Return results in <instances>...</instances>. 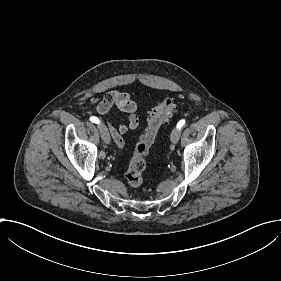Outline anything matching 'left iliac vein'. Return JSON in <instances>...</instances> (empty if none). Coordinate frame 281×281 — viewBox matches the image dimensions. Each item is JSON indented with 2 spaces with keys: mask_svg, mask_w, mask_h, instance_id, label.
I'll return each mask as SVG.
<instances>
[{
  "mask_svg": "<svg viewBox=\"0 0 281 281\" xmlns=\"http://www.w3.org/2000/svg\"><path fill=\"white\" fill-rule=\"evenodd\" d=\"M179 136H180V131H179V129H177V128H174V129H172V131H171V141L170 142H174V143H178L179 141H178V138H179Z\"/></svg>",
  "mask_w": 281,
  "mask_h": 281,
  "instance_id": "left-iliac-vein-1",
  "label": "left iliac vein"
}]
</instances>
